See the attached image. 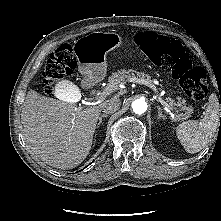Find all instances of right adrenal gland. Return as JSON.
Instances as JSON below:
<instances>
[{"instance_id":"obj_1","label":"right adrenal gland","mask_w":221,"mask_h":221,"mask_svg":"<svg viewBox=\"0 0 221 221\" xmlns=\"http://www.w3.org/2000/svg\"><path fill=\"white\" fill-rule=\"evenodd\" d=\"M107 116H108L107 114H103V115H101V116L99 117V122H98V124H97V128L101 125L102 119L105 118V117H107Z\"/></svg>"}]
</instances>
